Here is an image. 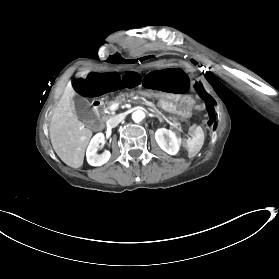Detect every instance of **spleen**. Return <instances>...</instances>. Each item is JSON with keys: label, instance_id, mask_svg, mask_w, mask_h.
Returning <instances> with one entry per match:
<instances>
[{"label": "spleen", "instance_id": "1", "mask_svg": "<svg viewBox=\"0 0 279 279\" xmlns=\"http://www.w3.org/2000/svg\"><path fill=\"white\" fill-rule=\"evenodd\" d=\"M195 134L192 135L193 141L189 140L187 142V147L189 148L188 150V156L194 157L202 148L204 144V132L201 127H198L195 129Z\"/></svg>", "mask_w": 279, "mask_h": 279}]
</instances>
